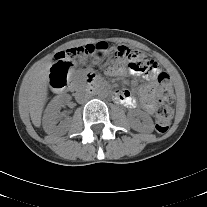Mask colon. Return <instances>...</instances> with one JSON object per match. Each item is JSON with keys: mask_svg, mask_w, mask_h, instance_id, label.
Masks as SVG:
<instances>
[{"mask_svg": "<svg viewBox=\"0 0 207 207\" xmlns=\"http://www.w3.org/2000/svg\"><path fill=\"white\" fill-rule=\"evenodd\" d=\"M106 46L103 44L88 45L84 47L71 48L59 52L56 56V62L52 66V72L49 75V82L55 88H62L68 82V76L71 73L70 64L86 65L94 62L96 55L104 53ZM115 59L126 60V66L130 70H140L148 76H157L158 104L155 113V126L159 133L168 131L172 118L173 110L168 105L174 99V90L170 78L166 73H160V64L150 56L139 53L136 50L126 46H119L114 52Z\"/></svg>", "mask_w": 207, "mask_h": 207, "instance_id": "1", "label": "colon"}]
</instances>
